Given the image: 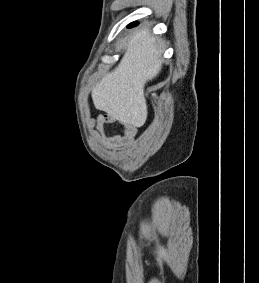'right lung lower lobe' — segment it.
<instances>
[{
	"mask_svg": "<svg viewBox=\"0 0 259 283\" xmlns=\"http://www.w3.org/2000/svg\"><path fill=\"white\" fill-rule=\"evenodd\" d=\"M137 24H138L137 22H133V23H131V24L128 25V28L134 27V26H136Z\"/></svg>",
	"mask_w": 259,
	"mask_h": 283,
	"instance_id": "1",
	"label": "right lung lower lobe"
}]
</instances>
